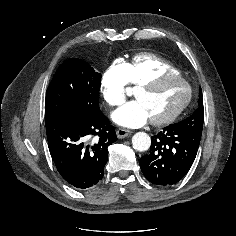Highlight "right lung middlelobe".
Masks as SVG:
<instances>
[{
    "label": "right lung middle lobe",
    "mask_w": 236,
    "mask_h": 236,
    "mask_svg": "<svg viewBox=\"0 0 236 236\" xmlns=\"http://www.w3.org/2000/svg\"><path fill=\"white\" fill-rule=\"evenodd\" d=\"M101 74L87 62L73 58L57 69L45 100V122L74 112L92 113L99 107Z\"/></svg>",
    "instance_id": "1"
}]
</instances>
